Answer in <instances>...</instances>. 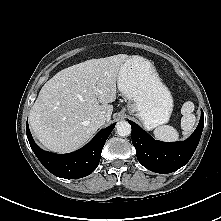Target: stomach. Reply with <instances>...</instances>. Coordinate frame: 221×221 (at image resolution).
<instances>
[{"instance_id": "obj_1", "label": "stomach", "mask_w": 221, "mask_h": 221, "mask_svg": "<svg viewBox=\"0 0 221 221\" xmlns=\"http://www.w3.org/2000/svg\"><path fill=\"white\" fill-rule=\"evenodd\" d=\"M117 85L128 100V113L138 117L147 129L169 121L173 98L152 62L141 56H129L120 67Z\"/></svg>"}]
</instances>
